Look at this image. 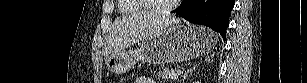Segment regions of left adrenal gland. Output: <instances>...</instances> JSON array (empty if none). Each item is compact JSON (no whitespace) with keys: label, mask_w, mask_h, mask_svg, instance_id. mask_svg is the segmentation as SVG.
I'll list each match as a JSON object with an SVG mask.
<instances>
[{"label":"left adrenal gland","mask_w":307,"mask_h":83,"mask_svg":"<svg viewBox=\"0 0 307 83\" xmlns=\"http://www.w3.org/2000/svg\"><path fill=\"white\" fill-rule=\"evenodd\" d=\"M209 59L208 58H205L204 62L208 61ZM202 64V61L195 65L193 68H190L189 70H187V72H185L184 76H183V80L186 79V77L188 76L189 73H192L193 70H195L197 67H199L200 65Z\"/></svg>","instance_id":"1"}]
</instances>
